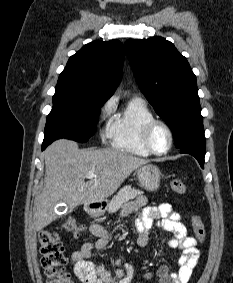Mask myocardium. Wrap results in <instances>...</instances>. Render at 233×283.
I'll list each match as a JSON object with an SVG mask.
<instances>
[{"instance_id": "obj_1", "label": "myocardium", "mask_w": 233, "mask_h": 283, "mask_svg": "<svg viewBox=\"0 0 233 283\" xmlns=\"http://www.w3.org/2000/svg\"><path fill=\"white\" fill-rule=\"evenodd\" d=\"M158 125L162 126L167 131L168 136H169V145H168V147L165 151H161V152L155 150L152 147L151 142H150L151 133H152L153 129ZM140 137H141V143L144 146V148L150 154L157 155V156L167 154L172 149L173 143H174V135H173V132H172V129L170 128V126L165 121H163L161 119H157V118H153V119L147 121L143 125Z\"/></svg>"}]
</instances>
